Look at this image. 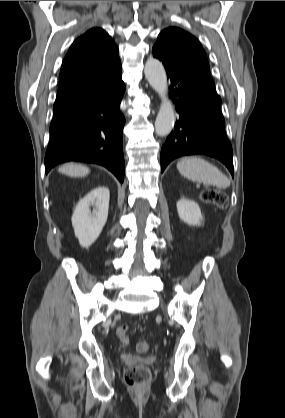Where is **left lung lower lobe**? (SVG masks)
I'll return each mask as SVG.
<instances>
[{
	"label": "left lung lower lobe",
	"mask_w": 285,
	"mask_h": 418,
	"mask_svg": "<svg viewBox=\"0 0 285 418\" xmlns=\"http://www.w3.org/2000/svg\"><path fill=\"white\" fill-rule=\"evenodd\" d=\"M152 51L165 66L169 92L179 114L161 150V171L175 158L205 154L223 162L233 176L232 146L225 134L221 98L214 81L164 42L157 41Z\"/></svg>",
	"instance_id": "0a47b994"
}]
</instances>
